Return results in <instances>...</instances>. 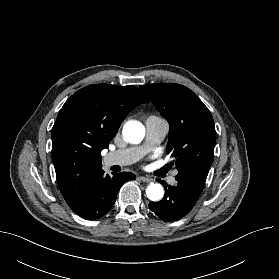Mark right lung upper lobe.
<instances>
[{
  "mask_svg": "<svg viewBox=\"0 0 279 279\" xmlns=\"http://www.w3.org/2000/svg\"><path fill=\"white\" fill-rule=\"evenodd\" d=\"M148 98L135 86L89 85L61 108L52 128V159L61 194L71 207L102 170L107 148L126 115Z\"/></svg>",
  "mask_w": 279,
  "mask_h": 279,
  "instance_id": "1",
  "label": "right lung upper lobe"
}]
</instances>
